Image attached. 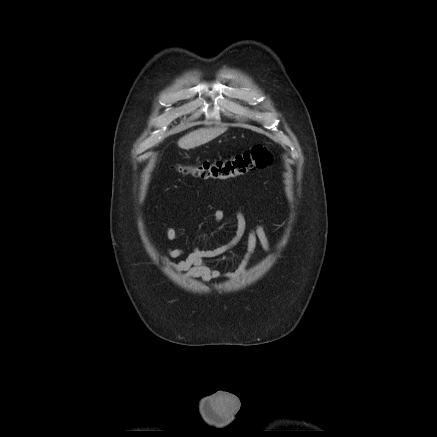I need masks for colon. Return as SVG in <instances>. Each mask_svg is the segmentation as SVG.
I'll return each mask as SVG.
<instances>
[{
    "label": "colon",
    "instance_id": "1",
    "mask_svg": "<svg viewBox=\"0 0 437 437\" xmlns=\"http://www.w3.org/2000/svg\"><path fill=\"white\" fill-rule=\"evenodd\" d=\"M273 161L272 153L263 145L228 160L205 161L196 165H181L179 172L201 179L228 180L267 167Z\"/></svg>",
    "mask_w": 437,
    "mask_h": 437
}]
</instances>
